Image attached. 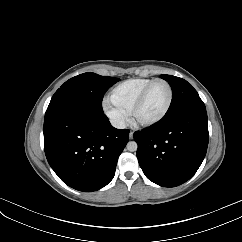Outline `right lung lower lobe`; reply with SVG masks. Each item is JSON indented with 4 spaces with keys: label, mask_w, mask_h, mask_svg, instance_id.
<instances>
[{
    "label": "right lung lower lobe",
    "mask_w": 242,
    "mask_h": 242,
    "mask_svg": "<svg viewBox=\"0 0 242 242\" xmlns=\"http://www.w3.org/2000/svg\"><path fill=\"white\" fill-rule=\"evenodd\" d=\"M46 158L68 186L85 192L106 186L129 139V130L114 128L103 112L67 108L45 115Z\"/></svg>",
    "instance_id": "98d812e1"
}]
</instances>
